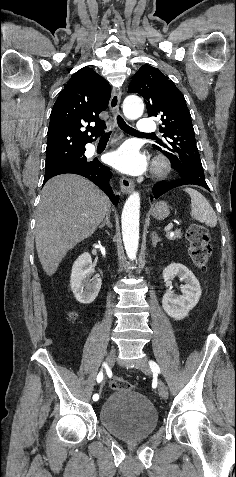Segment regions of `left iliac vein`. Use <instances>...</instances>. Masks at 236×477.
Returning a JSON list of instances; mask_svg holds the SVG:
<instances>
[{
    "instance_id": "1",
    "label": "left iliac vein",
    "mask_w": 236,
    "mask_h": 477,
    "mask_svg": "<svg viewBox=\"0 0 236 477\" xmlns=\"http://www.w3.org/2000/svg\"><path fill=\"white\" fill-rule=\"evenodd\" d=\"M140 370L147 375L151 374V369H150V367L147 363H144V362L141 363L140 364ZM158 392H159V395L161 396V398H163L164 400H166L168 398L167 386L161 380L158 381Z\"/></svg>"
}]
</instances>
